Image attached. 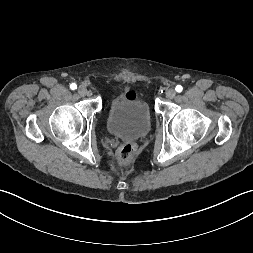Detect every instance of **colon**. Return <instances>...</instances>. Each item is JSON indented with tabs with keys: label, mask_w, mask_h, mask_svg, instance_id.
Returning <instances> with one entry per match:
<instances>
[{
	"label": "colon",
	"mask_w": 253,
	"mask_h": 253,
	"mask_svg": "<svg viewBox=\"0 0 253 253\" xmlns=\"http://www.w3.org/2000/svg\"><path fill=\"white\" fill-rule=\"evenodd\" d=\"M134 150L135 145L131 142H126L121 145L117 152L118 162L123 166L128 165L131 162Z\"/></svg>",
	"instance_id": "5ec220e1"
}]
</instances>
